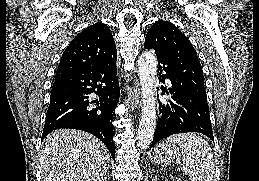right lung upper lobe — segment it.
I'll list each match as a JSON object with an SVG mask.
<instances>
[{
  "label": "right lung upper lobe",
  "instance_id": "1",
  "mask_svg": "<svg viewBox=\"0 0 259 181\" xmlns=\"http://www.w3.org/2000/svg\"><path fill=\"white\" fill-rule=\"evenodd\" d=\"M117 59L110 29L96 23L79 33L62 54L55 78L85 69L97 68Z\"/></svg>",
  "mask_w": 259,
  "mask_h": 181
}]
</instances>
